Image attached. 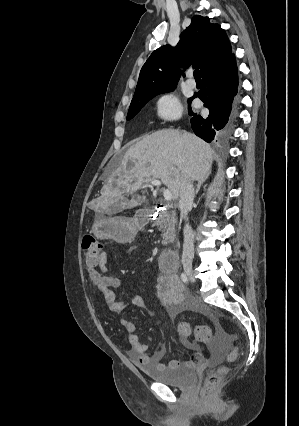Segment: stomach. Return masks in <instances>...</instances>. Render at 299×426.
Segmentation results:
<instances>
[{"label": "stomach", "instance_id": "0dacf381", "mask_svg": "<svg viewBox=\"0 0 299 426\" xmlns=\"http://www.w3.org/2000/svg\"><path fill=\"white\" fill-rule=\"evenodd\" d=\"M97 239H111L117 242H128L136 234L133 220L122 217L100 216L91 227Z\"/></svg>", "mask_w": 299, "mask_h": 426}]
</instances>
